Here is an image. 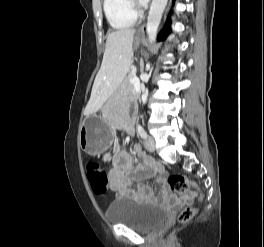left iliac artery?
<instances>
[{"label":"left iliac artery","mask_w":264,"mask_h":247,"mask_svg":"<svg viewBox=\"0 0 264 247\" xmlns=\"http://www.w3.org/2000/svg\"><path fill=\"white\" fill-rule=\"evenodd\" d=\"M137 131H138V134L140 135L141 138H143V139L147 138V133H146L145 129L140 124H138V126H137Z\"/></svg>","instance_id":"44dca946"}]
</instances>
